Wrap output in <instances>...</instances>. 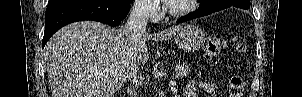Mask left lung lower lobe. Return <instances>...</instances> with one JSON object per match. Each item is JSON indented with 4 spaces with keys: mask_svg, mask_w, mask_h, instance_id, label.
Masks as SVG:
<instances>
[{
    "mask_svg": "<svg viewBox=\"0 0 302 97\" xmlns=\"http://www.w3.org/2000/svg\"><path fill=\"white\" fill-rule=\"evenodd\" d=\"M216 1L217 0H212L209 3H200L199 8L196 11L179 18L177 20V23L186 22L188 20H192V19H195V18L206 16V15H209L211 13L222 10L223 8L215 7L214 3ZM241 3L243 5L234 6V7H238V8H241V9H249L250 8V0H242Z\"/></svg>",
    "mask_w": 302,
    "mask_h": 97,
    "instance_id": "0a47b994",
    "label": "left lung lower lobe"
}]
</instances>
